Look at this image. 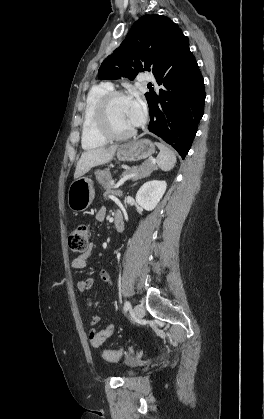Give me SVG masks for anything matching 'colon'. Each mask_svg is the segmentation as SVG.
Here are the masks:
<instances>
[{
  "instance_id": "5ec220e1",
  "label": "colon",
  "mask_w": 264,
  "mask_h": 419,
  "mask_svg": "<svg viewBox=\"0 0 264 419\" xmlns=\"http://www.w3.org/2000/svg\"><path fill=\"white\" fill-rule=\"evenodd\" d=\"M89 244V230L88 227L84 224L78 225L71 230L68 236V245L69 248L78 253H83L87 250ZM129 356L134 358H142L143 353L141 351H137L132 347L116 350V351H108L105 350L102 352L103 359L116 362L122 356Z\"/></svg>"
}]
</instances>
